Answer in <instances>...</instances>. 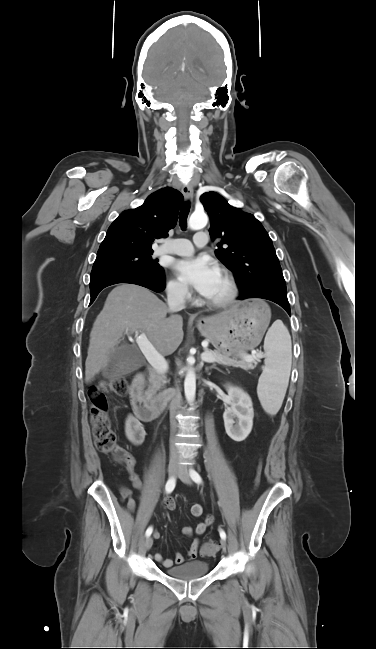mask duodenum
I'll list each match as a JSON object with an SVG mask.
<instances>
[{
  "label": "duodenum",
  "mask_w": 376,
  "mask_h": 649,
  "mask_svg": "<svg viewBox=\"0 0 376 649\" xmlns=\"http://www.w3.org/2000/svg\"><path fill=\"white\" fill-rule=\"evenodd\" d=\"M144 383V374L137 373L132 380L129 397L135 416L141 420L148 421L157 417L166 404L176 397V394L164 392L151 400H147L143 395Z\"/></svg>",
  "instance_id": "obj_1"
}]
</instances>
